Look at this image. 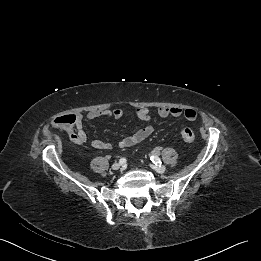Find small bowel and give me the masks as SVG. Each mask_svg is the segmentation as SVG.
Here are the masks:
<instances>
[{
  "instance_id": "small-bowel-1",
  "label": "small bowel",
  "mask_w": 261,
  "mask_h": 261,
  "mask_svg": "<svg viewBox=\"0 0 261 261\" xmlns=\"http://www.w3.org/2000/svg\"><path fill=\"white\" fill-rule=\"evenodd\" d=\"M158 114L160 117H180L184 116L189 121H194L197 118V112L194 109L187 108L182 109L180 107H161L158 109ZM124 111L122 109H113V110H102V111H91L82 116L80 114L75 116V123L65 128V132L68 135L69 139L76 144H85L87 142V135L83 129L84 120L94 121L99 118H112L119 120L123 117ZM135 115L138 119L149 122L151 120L150 111L146 107L138 108L135 111ZM154 131V128L151 124H148L130 136H127L121 139L118 142L120 148H128L135 144H138L148 138ZM91 146L98 150H109L111 144L109 142L103 141L101 139H94L91 141Z\"/></svg>"
}]
</instances>
